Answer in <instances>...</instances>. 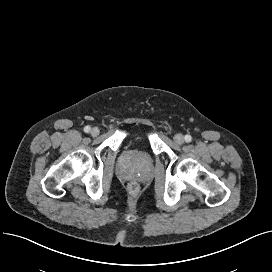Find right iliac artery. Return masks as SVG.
Segmentation results:
<instances>
[{
    "label": "right iliac artery",
    "mask_w": 272,
    "mask_h": 272,
    "mask_svg": "<svg viewBox=\"0 0 272 272\" xmlns=\"http://www.w3.org/2000/svg\"><path fill=\"white\" fill-rule=\"evenodd\" d=\"M90 127L89 126H86L85 128H84V131L86 132V133H88V132H90Z\"/></svg>",
    "instance_id": "right-iliac-artery-1"
}]
</instances>
